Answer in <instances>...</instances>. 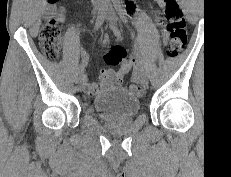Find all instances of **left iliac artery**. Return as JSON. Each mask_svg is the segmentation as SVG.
Returning <instances> with one entry per match:
<instances>
[{"label":"left iliac artery","mask_w":231,"mask_h":177,"mask_svg":"<svg viewBox=\"0 0 231 177\" xmlns=\"http://www.w3.org/2000/svg\"><path fill=\"white\" fill-rule=\"evenodd\" d=\"M114 6H115L116 11L119 14L120 19L126 24L128 22L127 13L124 10L123 6L120 4V2H114ZM132 36H133V33H132ZM133 52H134V57L138 62L139 71H146L144 59L139 53L140 49L136 45L133 47Z\"/></svg>","instance_id":"left-iliac-artery-1"}]
</instances>
